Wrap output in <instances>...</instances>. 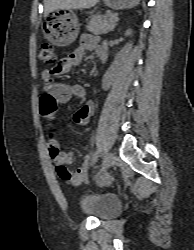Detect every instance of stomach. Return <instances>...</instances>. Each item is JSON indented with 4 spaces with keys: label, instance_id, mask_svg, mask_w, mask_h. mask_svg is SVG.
<instances>
[{
    "label": "stomach",
    "instance_id": "0dacf381",
    "mask_svg": "<svg viewBox=\"0 0 194 250\" xmlns=\"http://www.w3.org/2000/svg\"><path fill=\"white\" fill-rule=\"evenodd\" d=\"M105 4L112 9L130 8L139 0H104ZM45 39L50 43L65 47L74 42L79 33V22L76 13L72 10L55 9L45 17L42 27Z\"/></svg>",
    "mask_w": 194,
    "mask_h": 250
}]
</instances>
